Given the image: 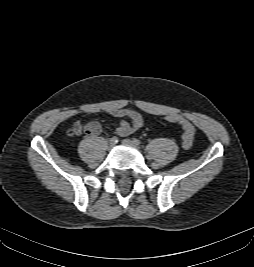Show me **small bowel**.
<instances>
[{
  "mask_svg": "<svg viewBox=\"0 0 254 267\" xmlns=\"http://www.w3.org/2000/svg\"><path fill=\"white\" fill-rule=\"evenodd\" d=\"M106 113L121 119L120 124L116 128V133L121 137L131 135L133 132L141 128L144 123L143 117L138 112L127 108L108 109L106 110ZM73 128L78 129L81 132L82 125L77 121L74 123ZM84 131L89 136H96L101 132V126L97 122H90L84 127Z\"/></svg>",
  "mask_w": 254,
  "mask_h": 267,
  "instance_id": "c3829d8e",
  "label": "small bowel"
}]
</instances>
